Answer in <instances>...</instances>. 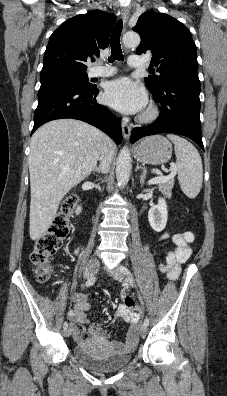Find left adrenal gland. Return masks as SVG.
Instances as JSON below:
<instances>
[{
	"mask_svg": "<svg viewBox=\"0 0 227 396\" xmlns=\"http://www.w3.org/2000/svg\"><path fill=\"white\" fill-rule=\"evenodd\" d=\"M141 170V175H140V184L141 187L144 185V179H145V168L142 166H139V163H137V166L135 168V171Z\"/></svg>",
	"mask_w": 227,
	"mask_h": 396,
	"instance_id": "a2214340",
	"label": "left adrenal gland"
}]
</instances>
